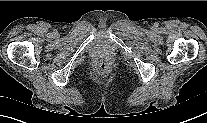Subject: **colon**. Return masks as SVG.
I'll return each instance as SVG.
<instances>
[{
  "instance_id": "obj_1",
  "label": "colon",
  "mask_w": 207,
  "mask_h": 123,
  "mask_svg": "<svg viewBox=\"0 0 207 123\" xmlns=\"http://www.w3.org/2000/svg\"><path fill=\"white\" fill-rule=\"evenodd\" d=\"M106 63L104 61L101 62V66L104 67Z\"/></svg>"
}]
</instances>
